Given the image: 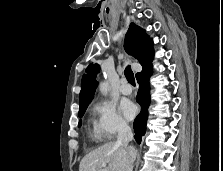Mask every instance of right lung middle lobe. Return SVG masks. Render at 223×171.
<instances>
[{
  "label": "right lung middle lobe",
  "instance_id": "1",
  "mask_svg": "<svg viewBox=\"0 0 223 171\" xmlns=\"http://www.w3.org/2000/svg\"><path fill=\"white\" fill-rule=\"evenodd\" d=\"M88 106V105H87ZM87 106H84V107H80L79 108V117H82L83 115H84V113H85V111H86V109H87ZM81 123H82V121L80 120L79 121V127L81 126Z\"/></svg>",
  "mask_w": 223,
  "mask_h": 171
}]
</instances>
